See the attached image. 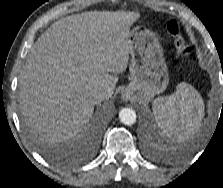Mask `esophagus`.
Segmentation results:
<instances>
[{"label":"esophagus","instance_id":"obj_1","mask_svg":"<svg viewBox=\"0 0 223 188\" xmlns=\"http://www.w3.org/2000/svg\"><path fill=\"white\" fill-rule=\"evenodd\" d=\"M122 99L124 100V101H128V100H130V94L128 93V92H123L122 93Z\"/></svg>","mask_w":223,"mask_h":188}]
</instances>
